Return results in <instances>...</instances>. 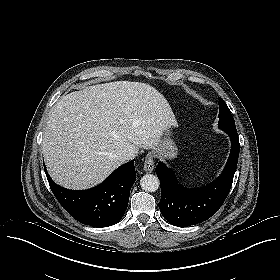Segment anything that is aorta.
Segmentation results:
<instances>
[{
    "mask_svg": "<svg viewBox=\"0 0 280 280\" xmlns=\"http://www.w3.org/2000/svg\"><path fill=\"white\" fill-rule=\"evenodd\" d=\"M140 186L145 191L155 192L160 186L159 179L153 174H146L141 178Z\"/></svg>",
    "mask_w": 280,
    "mask_h": 280,
    "instance_id": "obj_1",
    "label": "aorta"
}]
</instances>
